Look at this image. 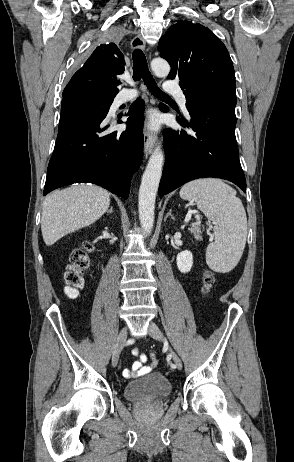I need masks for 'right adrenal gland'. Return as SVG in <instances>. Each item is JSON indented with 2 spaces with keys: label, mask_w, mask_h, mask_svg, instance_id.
<instances>
[{
  "label": "right adrenal gland",
  "mask_w": 294,
  "mask_h": 462,
  "mask_svg": "<svg viewBox=\"0 0 294 462\" xmlns=\"http://www.w3.org/2000/svg\"><path fill=\"white\" fill-rule=\"evenodd\" d=\"M113 212V207L111 206L110 209L107 211V213H112Z\"/></svg>",
  "instance_id": "obj_1"
}]
</instances>
